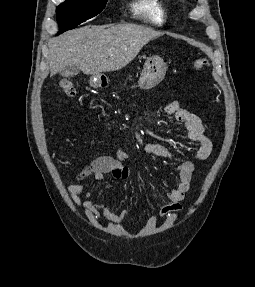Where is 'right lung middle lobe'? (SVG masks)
Instances as JSON below:
<instances>
[{"mask_svg": "<svg viewBox=\"0 0 255 287\" xmlns=\"http://www.w3.org/2000/svg\"><path fill=\"white\" fill-rule=\"evenodd\" d=\"M107 0H66L56 10L59 32L63 33L99 14Z\"/></svg>", "mask_w": 255, "mask_h": 287, "instance_id": "1", "label": "right lung middle lobe"}]
</instances>
